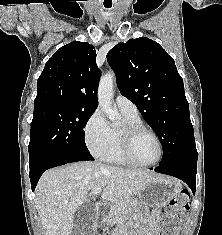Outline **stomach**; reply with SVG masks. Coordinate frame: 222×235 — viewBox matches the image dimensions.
I'll return each instance as SVG.
<instances>
[{"instance_id": "0dacf381", "label": "stomach", "mask_w": 222, "mask_h": 235, "mask_svg": "<svg viewBox=\"0 0 222 235\" xmlns=\"http://www.w3.org/2000/svg\"><path fill=\"white\" fill-rule=\"evenodd\" d=\"M180 191L181 184L178 180L159 177L139 192V200L134 199L136 202L134 206L161 207L170 202Z\"/></svg>"}]
</instances>
